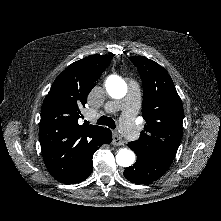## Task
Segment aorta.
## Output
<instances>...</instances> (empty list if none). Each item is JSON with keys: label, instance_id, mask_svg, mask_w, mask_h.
I'll use <instances>...</instances> for the list:
<instances>
[{"label": "aorta", "instance_id": "762f6f07", "mask_svg": "<svg viewBox=\"0 0 221 221\" xmlns=\"http://www.w3.org/2000/svg\"><path fill=\"white\" fill-rule=\"evenodd\" d=\"M107 93L114 99H121L127 94L126 82L117 75H111L106 80ZM116 162L119 166L129 167L135 162V154L132 150L121 148L116 154Z\"/></svg>", "mask_w": 221, "mask_h": 221}]
</instances>
